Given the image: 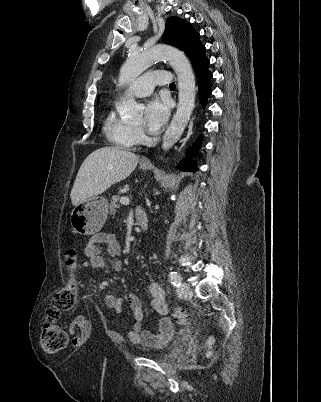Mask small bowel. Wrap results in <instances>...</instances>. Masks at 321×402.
Listing matches in <instances>:
<instances>
[{
    "mask_svg": "<svg viewBox=\"0 0 321 402\" xmlns=\"http://www.w3.org/2000/svg\"><path fill=\"white\" fill-rule=\"evenodd\" d=\"M106 244L109 255L118 257L121 254V245L112 233H99L94 235L87 243L85 253L89 259V264L93 269H106L107 263L102 256L101 245ZM115 271H122L123 265L120 260L113 262ZM150 294L149 306L158 315L164 316L158 324V332L152 333L142 329L144 312L140 298L133 292H129L128 301L133 317L135 319L134 329L128 333V338L132 343L140 344L144 347H159L170 341L173 336L172 322L168 317V306L161 286L152 281L148 285ZM104 301L107 307L120 314L122 312V298L116 292H109L105 295ZM70 333L73 334L74 346H79L90 333V326L83 316H76L70 326Z\"/></svg>",
    "mask_w": 321,
    "mask_h": 402,
    "instance_id": "1",
    "label": "small bowel"
}]
</instances>
